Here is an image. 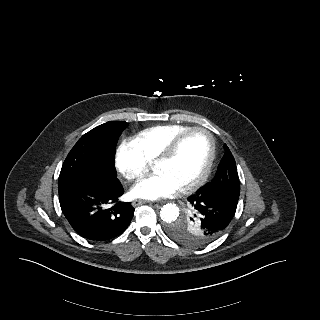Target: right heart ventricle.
I'll return each mask as SVG.
<instances>
[{
  "label": "right heart ventricle",
  "instance_id": "obj_1",
  "mask_svg": "<svg viewBox=\"0 0 320 320\" xmlns=\"http://www.w3.org/2000/svg\"><path fill=\"white\" fill-rule=\"evenodd\" d=\"M189 128L180 124L157 125L139 132L134 138L146 161H153L180 132Z\"/></svg>",
  "mask_w": 320,
  "mask_h": 320
}]
</instances>
